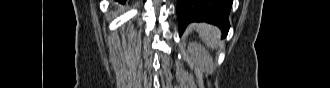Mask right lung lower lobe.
Returning <instances> with one entry per match:
<instances>
[{"instance_id": "right-lung-lower-lobe-1", "label": "right lung lower lobe", "mask_w": 330, "mask_h": 88, "mask_svg": "<svg viewBox=\"0 0 330 88\" xmlns=\"http://www.w3.org/2000/svg\"><path fill=\"white\" fill-rule=\"evenodd\" d=\"M116 1H118L121 4H124L126 2V0H116Z\"/></svg>"}]
</instances>
